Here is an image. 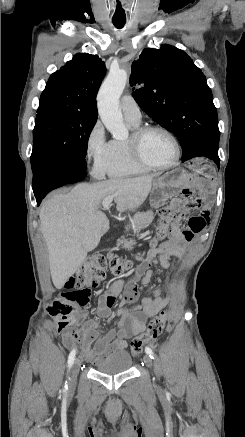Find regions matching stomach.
I'll return each instance as SVG.
<instances>
[{
    "label": "stomach",
    "instance_id": "1",
    "mask_svg": "<svg viewBox=\"0 0 245 437\" xmlns=\"http://www.w3.org/2000/svg\"><path fill=\"white\" fill-rule=\"evenodd\" d=\"M189 179L190 177L180 170H173L156 176L150 193L151 207L159 208L163 206L168 198L187 185Z\"/></svg>",
    "mask_w": 245,
    "mask_h": 437
}]
</instances>
